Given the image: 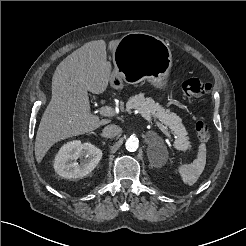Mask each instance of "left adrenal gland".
I'll list each match as a JSON object with an SVG mask.
<instances>
[{"instance_id": "1", "label": "left adrenal gland", "mask_w": 246, "mask_h": 246, "mask_svg": "<svg viewBox=\"0 0 246 246\" xmlns=\"http://www.w3.org/2000/svg\"><path fill=\"white\" fill-rule=\"evenodd\" d=\"M148 135H153V139L147 140L145 139V142L148 144V147L151 148L152 146H155L156 143L162 142V138L158 136L155 132L150 131Z\"/></svg>"}]
</instances>
